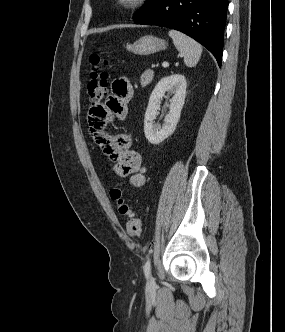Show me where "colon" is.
Segmentation results:
<instances>
[{"mask_svg":"<svg viewBox=\"0 0 285 332\" xmlns=\"http://www.w3.org/2000/svg\"><path fill=\"white\" fill-rule=\"evenodd\" d=\"M91 73L87 84V95L91 107L99 105L107 94L109 74L106 70L108 61L102 57V52L90 55ZM110 198L117 204L118 212L127 217L126 231L130 237L139 236L142 228L140 217L131 209L123 198L122 189L115 184L110 189Z\"/></svg>","mask_w":285,"mask_h":332,"instance_id":"obj_1","label":"colon"}]
</instances>
